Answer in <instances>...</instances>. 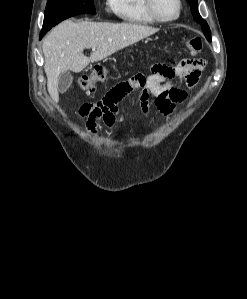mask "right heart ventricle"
Listing matches in <instances>:
<instances>
[{"label": "right heart ventricle", "mask_w": 247, "mask_h": 299, "mask_svg": "<svg viewBox=\"0 0 247 299\" xmlns=\"http://www.w3.org/2000/svg\"><path fill=\"white\" fill-rule=\"evenodd\" d=\"M108 6L124 22L141 25L156 23L146 9L145 0H108Z\"/></svg>", "instance_id": "1"}]
</instances>
